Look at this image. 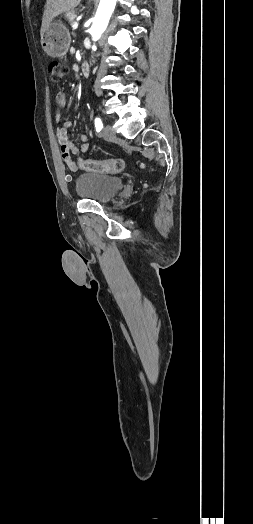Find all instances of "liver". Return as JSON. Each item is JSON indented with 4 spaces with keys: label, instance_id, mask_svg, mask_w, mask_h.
<instances>
[{
    "label": "liver",
    "instance_id": "6515ba94",
    "mask_svg": "<svg viewBox=\"0 0 253 524\" xmlns=\"http://www.w3.org/2000/svg\"><path fill=\"white\" fill-rule=\"evenodd\" d=\"M80 2L81 0H47L40 30L41 36L53 18L64 12L73 10Z\"/></svg>",
    "mask_w": 253,
    "mask_h": 524
}]
</instances>
